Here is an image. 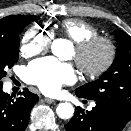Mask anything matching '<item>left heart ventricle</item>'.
Here are the masks:
<instances>
[{
	"instance_id": "obj_1",
	"label": "left heart ventricle",
	"mask_w": 131,
	"mask_h": 131,
	"mask_svg": "<svg viewBox=\"0 0 131 131\" xmlns=\"http://www.w3.org/2000/svg\"><path fill=\"white\" fill-rule=\"evenodd\" d=\"M75 54V53H74ZM106 50L103 46L93 47L84 57V63L86 66L95 68L99 66L105 59Z\"/></svg>"
}]
</instances>
